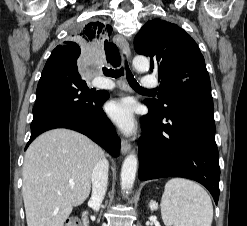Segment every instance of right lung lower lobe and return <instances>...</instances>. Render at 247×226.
Listing matches in <instances>:
<instances>
[{
    "label": "right lung lower lobe",
    "mask_w": 247,
    "mask_h": 226,
    "mask_svg": "<svg viewBox=\"0 0 247 226\" xmlns=\"http://www.w3.org/2000/svg\"><path fill=\"white\" fill-rule=\"evenodd\" d=\"M80 52V48L64 44L52 51L37 86L31 137L26 148L47 130L68 128L88 136L117 157L120 139L103 111L106 99L100 92L89 89L77 71Z\"/></svg>",
    "instance_id": "obj_1"
}]
</instances>
